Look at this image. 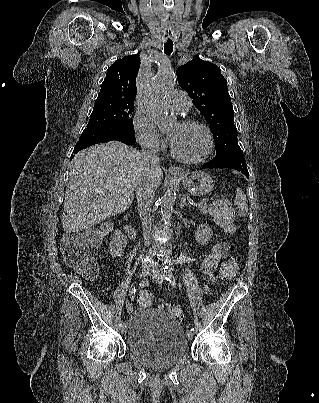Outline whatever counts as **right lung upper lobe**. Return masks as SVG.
<instances>
[{"instance_id": "right-lung-upper-lobe-1", "label": "right lung upper lobe", "mask_w": 319, "mask_h": 403, "mask_svg": "<svg viewBox=\"0 0 319 403\" xmlns=\"http://www.w3.org/2000/svg\"><path fill=\"white\" fill-rule=\"evenodd\" d=\"M139 67L138 55H129L116 60L107 70L96 102L134 105Z\"/></svg>"}]
</instances>
